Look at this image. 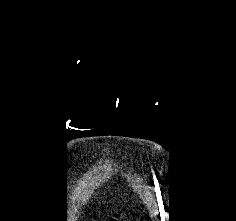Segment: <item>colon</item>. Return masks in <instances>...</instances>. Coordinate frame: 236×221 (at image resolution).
<instances>
[{"label": "colon", "mask_w": 236, "mask_h": 221, "mask_svg": "<svg viewBox=\"0 0 236 221\" xmlns=\"http://www.w3.org/2000/svg\"><path fill=\"white\" fill-rule=\"evenodd\" d=\"M110 221H119L117 218H113Z\"/></svg>", "instance_id": "1"}]
</instances>
